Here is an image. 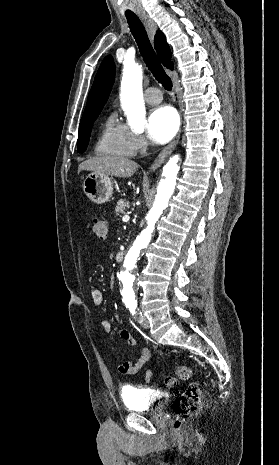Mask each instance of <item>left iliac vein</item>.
Here are the masks:
<instances>
[{"label":"left iliac vein","mask_w":279,"mask_h":465,"mask_svg":"<svg viewBox=\"0 0 279 465\" xmlns=\"http://www.w3.org/2000/svg\"><path fill=\"white\" fill-rule=\"evenodd\" d=\"M140 323L144 329H148L150 327L149 320L145 316L141 317Z\"/></svg>","instance_id":"obj_1"}]
</instances>
